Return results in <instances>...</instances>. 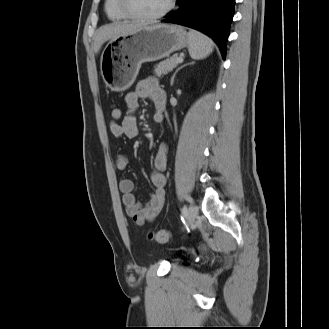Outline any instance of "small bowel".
<instances>
[{
	"mask_svg": "<svg viewBox=\"0 0 329 329\" xmlns=\"http://www.w3.org/2000/svg\"><path fill=\"white\" fill-rule=\"evenodd\" d=\"M141 99H147L152 103L154 108V120L157 123L162 122L157 120V116L162 114L164 110L166 94L154 78H148L141 81L135 91L125 96L127 115L124 116L120 122H110L109 129L113 136H125L128 138L138 137L139 127L134 112L138 108ZM115 166L117 170L125 171L129 167L128 158L123 154L118 155ZM154 167L155 170L150 175L151 182L154 186V192L150 195L149 200L145 204H142L134 194V184L132 180L123 178L119 182V189L122 193V202L126 214L138 225H143L147 221L153 220L164 206L166 186L164 170L167 167V148L165 145L160 146L155 156Z\"/></svg>",
	"mask_w": 329,
	"mask_h": 329,
	"instance_id": "small-bowel-1",
	"label": "small bowel"
}]
</instances>
